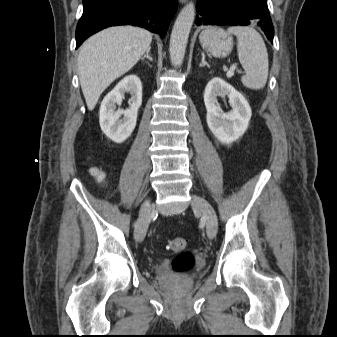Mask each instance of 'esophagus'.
<instances>
[{
  "label": "esophagus",
  "mask_w": 337,
  "mask_h": 337,
  "mask_svg": "<svg viewBox=\"0 0 337 337\" xmlns=\"http://www.w3.org/2000/svg\"><path fill=\"white\" fill-rule=\"evenodd\" d=\"M181 3H185L186 2V0H179Z\"/></svg>",
  "instance_id": "1"
}]
</instances>
